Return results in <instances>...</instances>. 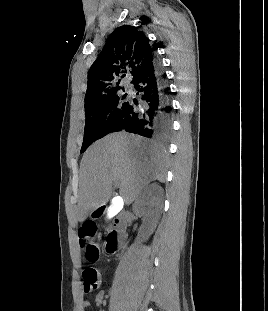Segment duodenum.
Wrapping results in <instances>:
<instances>
[{
	"label": "duodenum",
	"mask_w": 268,
	"mask_h": 311,
	"mask_svg": "<svg viewBox=\"0 0 268 311\" xmlns=\"http://www.w3.org/2000/svg\"><path fill=\"white\" fill-rule=\"evenodd\" d=\"M104 210V207L99 208L94 214L95 217L102 216ZM113 223L114 228L108 233L105 244L106 250L110 254L116 253L121 247L126 229V222L121 217L115 218Z\"/></svg>",
	"instance_id": "410a0bca"
}]
</instances>
